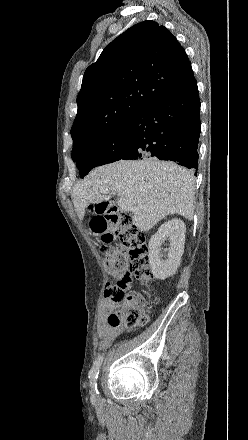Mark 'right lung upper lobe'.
<instances>
[{
  "mask_svg": "<svg viewBox=\"0 0 248 440\" xmlns=\"http://www.w3.org/2000/svg\"><path fill=\"white\" fill-rule=\"evenodd\" d=\"M196 84L184 48L164 26L154 21L132 26L85 71L71 129L73 147L129 122L153 101Z\"/></svg>",
  "mask_w": 248,
  "mask_h": 440,
  "instance_id": "cb5924a9",
  "label": "right lung upper lobe"
}]
</instances>
